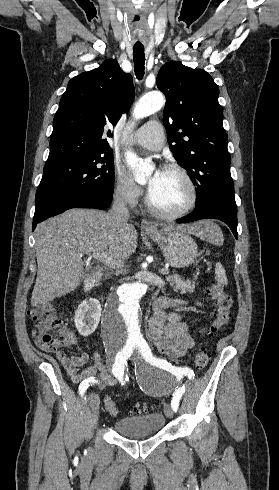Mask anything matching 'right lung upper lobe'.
I'll return each instance as SVG.
<instances>
[{"mask_svg":"<svg viewBox=\"0 0 279 490\" xmlns=\"http://www.w3.org/2000/svg\"><path fill=\"white\" fill-rule=\"evenodd\" d=\"M134 92L132 76L113 59L71 79L54 117L47 162L110 149L104 126L118 122Z\"/></svg>","mask_w":279,"mask_h":490,"instance_id":"cb5924a9","label":"right lung upper lobe"}]
</instances>
